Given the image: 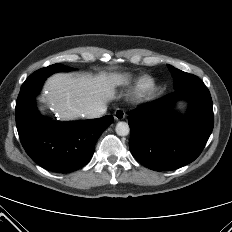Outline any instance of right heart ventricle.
<instances>
[{
  "mask_svg": "<svg viewBox=\"0 0 232 232\" xmlns=\"http://www.w3.org/2000/svg\"><path fill=\"white\" fill-rule=\"evenodd\" d=\"M135 79L127 74L118 75L114 78V84L118 87H128L134 83Z\"/></svg>",
  "mask_w": 232,
  "mask_h": 232,
  "instance_id": "e07e8e85",
  "label": "right heart ventricle"
}]
</instances>
